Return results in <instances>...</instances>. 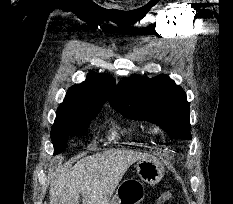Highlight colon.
Here are the masks:
<instances>
[{"mask_svg": "<svg viewBox=\"0 0 233 204\" xmlns=\"http://www.w3.org/2000/svg\"><path fill=\"white\" fill-rule=\"evenodd\" d=\"M157 204H172V192L170 186L164 187Z\"/></svg>", "mask_w": 233, "mask_h": 204, "instance_id": "colon-1", "label": "colon"}]
</instances>
